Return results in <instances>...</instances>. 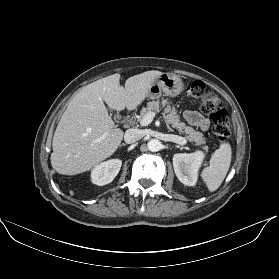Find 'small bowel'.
Returning <instances> with one entry per match:
<instances>
[{
	"label": "small bowel",
	"instance_id": "c3829d8e",
	"mask_svg": "<svg viewBox=\"0 0 279 279\" xmlns=\"http://www.w3.org/2000/svg\"><path fill=\"white\" fill-rule=\"evenodd\" d=\"M186 120L194 126L199 127L201 130L206 131L209 128V120L196 111H186L184 113Z\"/></svg>",
	"mask_w": 279,
	"mask_h": 279
}]
</instances>
